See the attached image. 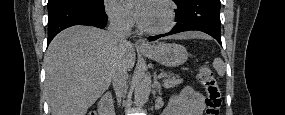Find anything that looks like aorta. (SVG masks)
Returning <instances> with one entry per match:
<instances>
[{"label": "aorta", "instance_id": "1", "mask_svg": "<svg viewBox=\"0 0 285 115\" xmlns=\"http://www.w3.org/2000/svg\"><path fill=\"white\" fill-rule=\"evenodd\" d=\"M151 92V81L147 74L140 70L135 78L134 98L136 106H143L149 99Z\"/></svg>", "mask_w": 285, "mask_h": 115}]
</instances>
